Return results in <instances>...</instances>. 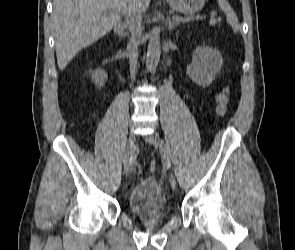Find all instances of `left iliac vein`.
Here are the masks:
<instances>
[{
    "label": "left iliac vein",
    "instance_id": "left-iliac-vein-1",
    "mask_svg": "<svg viewBox=\"0 0 295 250\" xmlns=\"http://www.w3.org/2000/svg\"><path fill=\"white\" fill-rule=\"evenodd\" d=\"M145 139L154 148H159V142H158L157 137H156L155 134H148V135H146ZM165 159L166 160H170L169 159V155H168V151L166 153ZM169 183H170V185H171L172 188H175L176 187V180H175V178H174L173 175H170V177H169Z\"/></svg>",
    "mask_w": 295,
    "mask_h": 250
}]
</instances>
